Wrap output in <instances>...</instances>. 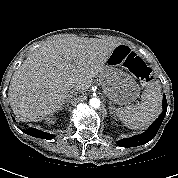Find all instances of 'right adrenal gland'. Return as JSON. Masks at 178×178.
I'll use <instances>...</instances> for the list:
<instances>
[{
	"mask_svg": "<svg viewBox=\"0 0 178 178\" xmlns=\"http://www.w3.org/2000/svg\"><path fill=\"white\" fill-rule=\"evenodd\" d=\"M72 96H69L68 98H67V100L65 101V105H64V107L63 108H61V110L62 109H65L66 110V107L69 105V102H70V98H71Z\"/></svg>",
	"mask_w": 178,
	"mask_h": 178,
	"instance_id": "obj_1",
	"label": "right adrenal gland"
}]
</instances>
